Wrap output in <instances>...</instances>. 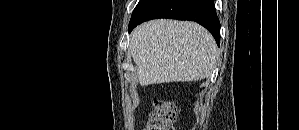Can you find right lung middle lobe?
I'll list each match as a JSON object with an SVG mask.
<instances>
[{"label": "right lung middle lobe", "instance_id": "right-lung-middle-lobe-1", "mask_svg": "<svg viewBox=\"0 0 299 130\" xmlns=\"http://www.w3.org/2000/svg\"><path fill=\"white\" fill-rule=\"evenodd\" d=\"M148 0H140L137 6L135 7L132 16L147 2ZM132 18V17H131Z\"/></svg>", "mask_w": 299, "mask_h": 130}]
</instances>
